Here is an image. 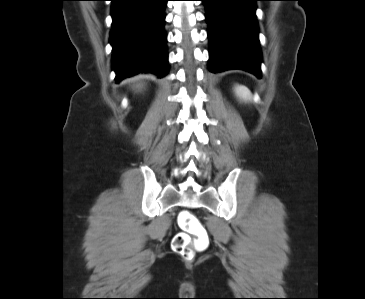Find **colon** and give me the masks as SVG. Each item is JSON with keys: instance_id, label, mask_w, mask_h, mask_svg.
Listing matches in <instances>:
<instances>
[{"instance_id": "5ec220e1", "label": "colon", "mask_w": 365, "mask_h": 299, "mask_svg": "<svg viewBox=\"0 0 365 299\" xmlns=\"http://www.w3.org/2000/svg\"><path fill=\"white\" fill-rule=\"evenodd\" d=\"M177 222L182 231L173 237L172 248L185 258H193L196 251L207 247L209 235L200 220L188 211L180 212Z\"/></svg>"}]
</instances>
